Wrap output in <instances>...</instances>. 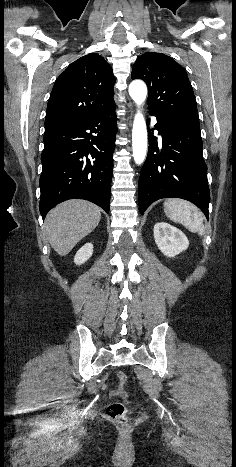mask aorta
<instances>
[{
    "mask_svg": "<svg viewBox=\"0 0 236 467\" xmlns=\"http://www.w3.org/2000/svg\"><path fill=\"white\" fill-rule=\"evenodd\" d=\"M129 94L139 107L147 96V86L143 81L134 80L129 85ZM147 128L143 114L138 110L135 114L132 128L133 158L137 165H141L147 155Z\"/></svg>",
    "mask_w": 236,
    "mask_h": 467,
    "instance_id": "1",
    "label": "aorta"
}]
</instances>
